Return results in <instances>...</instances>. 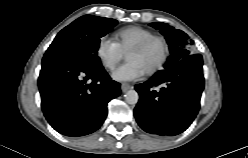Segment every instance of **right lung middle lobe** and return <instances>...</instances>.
Listing matches in <instances>:
<instances>
[{"label":"right lung middle lobe","instance_id":"1","mask_svg":"<svg viewBox=\"0 0 248 158\" xmlns=\"http://www.w3.org/2000/svg\"><path fill=\"white\" fill-rule=\"evenodd\" d=\"M117 24L115 19L85 15L62 29L48 51L63 50L82 55H96L100 38Z\"/></svg>","mask_w":248,"mask_h":158}]
</instances>
